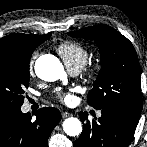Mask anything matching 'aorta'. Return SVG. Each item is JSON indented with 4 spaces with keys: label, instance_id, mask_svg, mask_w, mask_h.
<instances>
[{
    "label": "aorta",
    "instance_id": "aorta-1",
    "mask_svg": "<svg viewBox=\"0 0 147 147\" xmlns=\"http://www.w3.org/2000/svg\"><path fill=\"white\" fill-rule=\"evenodd\" d=\"M34 68L36 75L44 81L66 79L62 63L53 55L45 54L37 58ZM63 130L69 136H78L82 132V124L79 119L70 117L63 122Z\"/></svg>",
    "mask_w": 147,
    "mask_h": 147
}]
</instances>
